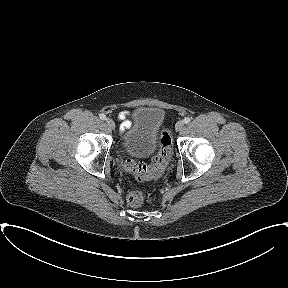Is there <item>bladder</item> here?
Returning <instances> with one entry per match:
<instances>
[{
    "label": "bladder",
    "mask_w": 288,
    "mask_h": 288,
    "mask_svg": "<svg viewBox=\"0 0 288 288\" xmlns=\"http://www.w3.org/2000/svg\"><path fill=\"white\" fill-rule=\"evenodd\" d=\"M165 112L158 107L141 106L134 110L131 125L122 138L124 150L133 156L152 154L161 144Z\"/></svg>",
    "instance_id": "1"
}]
</instances>
